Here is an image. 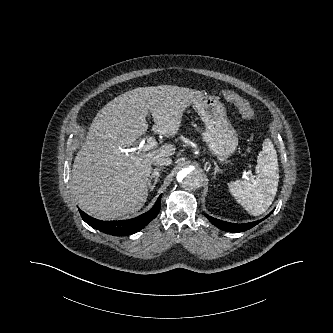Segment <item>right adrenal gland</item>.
<instances>
[{
    "label": "right adrenal gland",
    "instance_id": "obj_1",
    "mask_svg": "<svg viewBox=\"0 0 333 333\" xmlns=\"http://www.w3.org/2000/svg\"><path fill=\"white\" fill-rule=\"evenodd\" d=\"M161 169H162V167L155 168L154 171L152 172L150 179H149V183H148L150 191H153L157 182L159 181V176H160L159 172L161 171Z\"/></svg>",
    "mask_w": 333,
    "mask_h": 333
}]
</instances>
